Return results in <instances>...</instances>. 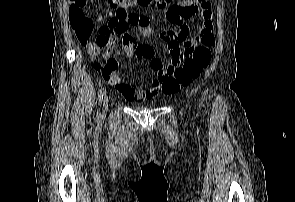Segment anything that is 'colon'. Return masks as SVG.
<instances>
[{
	"label": "colon",
	"instance_id": "obj_1",
	"mask_svg": "<svg viewBox=\"0 0 295 202\" xmlns=\"http://www.w3.org/2000/svg\"><path fill=\"white\" fill-rule=\"evenodd\" d=\"M115 9V19L120 21L122 28L137 25V15L127 11L129 5L163 6V0H110ZM71 23L76 37L85 46L97 45L100 42L99 29H96L92 19L79 9H71ZM215 45V37L211 32H203L193 48L183 51L175 62L167 65L157 78L152 80L150 87L154 91L174 94L181 87L188 86L198 78L211 61V49ZM100 69V68H99ZM104 73V72H103ZM109 76V75H107Z\"/></svg>",
	"mask_w": 295,
	"mask_h": 202
}]
</instances>
